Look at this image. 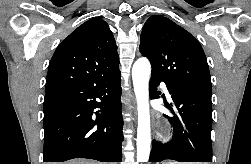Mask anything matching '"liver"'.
<instances>
[{
    "instance_id": "liver-1",
    "label": "liver",
    "mask_w": 251,
    "mask_h": 164,
    "mask_svg": "<svg viewBox=\"0 0 251 164\" xmlns=\"http://www.w3.org/2000/svg\"><path fill=\"white\" fill-rule=\"evenodd\" d=\"M64 164H101V163L88 161V160H72V161L66 162Z\"/></svg>"
}]
</instances>
